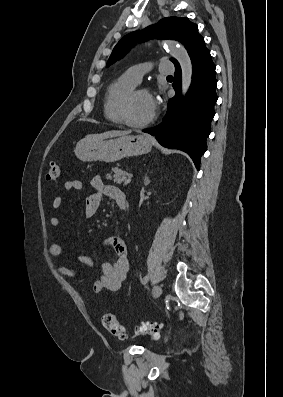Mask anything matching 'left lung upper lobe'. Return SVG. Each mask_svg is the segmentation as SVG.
<instances>
[{"label": "left lung upper lobe", "mask_w": 283, "mask_h": 397, "mask_svg": "<svg viewBox=\"0 0 283 397\" xmlns=\"http://www.w3.org/2000/svg\"><path fill=\"white\" fill-rule=\"evenodd\" d=\"M149 38L177 40L185 46L189 54L204 44V38L198 33L197 25L187 18L167 17L141 32L136 31L124 36L114 47L106 67L122 58L136 42ZM170 60L174 65L179 64L174 58Z\"/></svg>", "instance_id": "5c2ea615"}]
</instances>
